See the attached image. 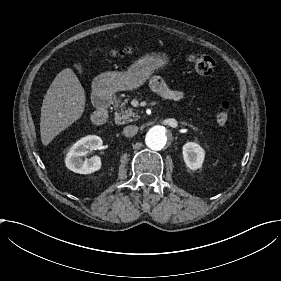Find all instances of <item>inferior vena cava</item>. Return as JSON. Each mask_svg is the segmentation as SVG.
Returning <instances> with one entry per match:
<instances>
[{
	"instance_id": "inferior-vena-cava-1",
	"label": "inferior vena cava",
	"mask_w": 281,
	"mask_h": 281,
	"mask_svg": "<svg viewBox=\"0 0 281 281\" xmlns=\"http://www.w3.org/2000/svg\"><path fill=\"white\" fill-rule=\"evenodd\" d=\"M137 132H138V127L135 125H129L123 129V133L126 137H133L134 135L137 134Z\"/></svg>"
}]
</instances>
